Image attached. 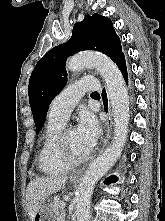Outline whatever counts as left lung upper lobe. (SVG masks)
Listing matches in <instances>:
<instances>
[{"mask_svg": "<svg viewBox=\"0 0 165 221\" xmlns=\"http://www.w3.org/2000/svg\"><path fill=\"white\" fill-rule=\"evenodd\" d=\"M83 50L102 52L115 63L124 56L120 39L109 18L93 14L77 22L67 43L48 51L31 74L28 95L36 133L43 126L51 101L67 83V57Z\"/></svg>", "mask_w": 165, "mask_h": 221, "instance_id": "left-lung-upper-lobe-1", "label": "left lung upper lobe"}]
</instances>
